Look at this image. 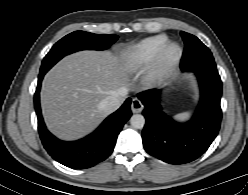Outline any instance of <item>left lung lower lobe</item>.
Wrapping results in <instances>:
<instances>
[{"label": "left lung lower lobe", "mask_w": 248, "mask_h": 195, "mask_svg": "<svg viewBox=\"0 0 248 195\" xmlns=\"http://www.w3.org/2000/svg\"><path fill=\"white\" fill-rule=\"evenodd\" d=\"M195 75L200 86V102L190 121L179 123L161 110L162 90L138 94L144 104L146 124L142 132L147 153L171 164H183L200 157L217 136L221 124L222 82L217 70H201Z\"/></svg>", "instance_id": "1"}]
</instances>
